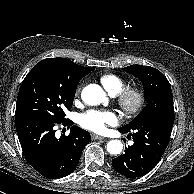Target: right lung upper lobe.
<instances>
[{"instance_id":"obj_1","label":"right lung upper lobe","mask_w":194,"mask_h":194,"mask_svg":"<svg viewBox=\"0 0 194 194\" xmlns=\"http://www.w3.org/2000/svg\"><path fill=\"white\" fill-rule=\"evenodd\" d=\"M55 61L69 76L74 79L81 80L82 77L86 76L91 72L94 67H83L75 64L69 59L64 58H48Z\"/></svg>"}]
</instances>
